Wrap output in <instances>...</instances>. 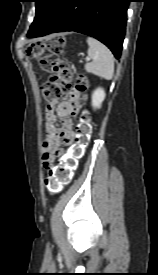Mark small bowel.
<instances>
[{
    "label": "small bowel",
    "instance_id": "1",
    "mask_svg": "<svg viewBox=\"0 0 158 275\" xmlns=\"http://www.w3.org/2000/svg\"><path fill=\"white\" fill-rule=\"evenodd\" d=\"M80 109L79 94L72 90L69 99L47 106L45 113L46 136L42 142V162L44 168L53 165L58 157L65 154L64 146H71L74 142L72 116ZM61 122L62 128L57 126Z\"/></svg>",
    "mask_w": 158,
    "mask_h": 275
}]
</instances>
